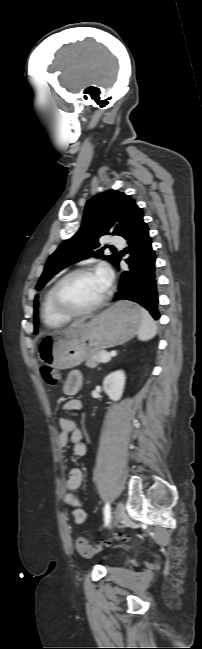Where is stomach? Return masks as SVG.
<instances>
[{
  "label": "stomach",
  "mask_w": 202,
  "mask_h": 649,
  "mask_svg": "<svg viewBox=\"0 0 202 649\" xmlns=\"http://www.w3.org/2000/svg\"><path fill=\"white\" fill-rule=\"evenodd\" d=\"M141 308L118 302L97 317L43 337L37 347L41 362L57 369H70L94 352L130 340L141 325Z\"/></svg>",
  "instance_id": "1"
}]
</instances>
